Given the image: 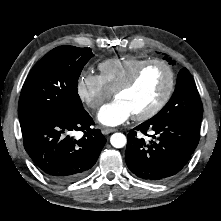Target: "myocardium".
I'll list each match as a JSON object with an SVG mask.
<instances>
[{
	"mask_svg": "<svg viewBox=\"0 0 221 221\" xmlns=\"http://www.w3.org/2000/svg\"><path fill=\"white\" fill-rule=\"evenodd\" d=\"M152 65H159L165 69L168 75V83L161 97L150 109H148L143 113L132 115L133 119L137 121H145L156 116L164 108V106L171 98L176 82L175 73L172 67L167 62L160 59L147 60L143 64H141L126 81H124L114 90L115 97L127 91L138 82L143 72Z\"/></svg>",
	"mask_w": 221,
	"mask_h": 221,
	"instance_id": "f54148a6",
	"label": "myocardium"
}]
</instances>
